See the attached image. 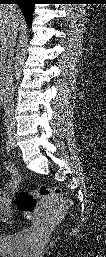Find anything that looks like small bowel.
I'll list each match as a JSON object with an SVG mask.
<instances>
[{"label":"small bowel","instance_id":"obj_1","mask_svg":"<svg viewBox=\"0 0 106 257\" xmlns=\"http://www.w3.org/2000/svg\"><path fill=\"white\" fill-rule=\"evenodd\" d=\"M5 169L10 173L11 178L1 192L0 209L4 219H10V204L11 197L18 189L20 183V174L13 164L10 162L5 163Z\"/></svg>","mask_w":106,"mask_h":257}]
</instances>
